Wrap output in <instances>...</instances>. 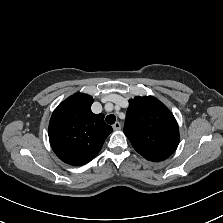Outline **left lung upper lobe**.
<instances>
[{"label":"left lung upper lobe","mask_w":223,"mask_h":223,"mask_svg":"<svg viewBox=\"0 0 223 223\" xmlns=\"http://www.w3.org/2000/svg\"><path fill=\"white\" fill-rule=\"evenodd\" d=\"M124 133L144 158L159 162L171 156L179 144V128L173 114L152 96L129 101Z\"/></svg>","instance_id":"obj_1"}]
</instances>
